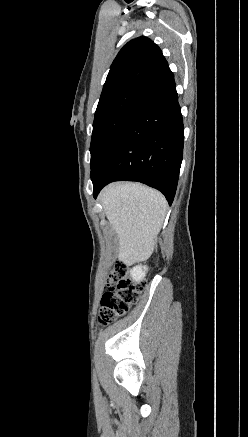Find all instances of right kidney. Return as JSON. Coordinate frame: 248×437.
I'll use <instances>...</instances> for the list:
<instances>
[{"label": "right kidney", "instance_id": "ca27d5eb", "mask_svg": "<svg viewBox=\"0 0 248 437\" xmlns=\"http://www.w3.org/2000/svg\"><path fill=\"white\" fill-rule=\"evenodd\" d=\"M148 268L147 266L138 265L135 266L133 269L130 270V275L135 282H141L147 272Z\"/></svg>", "mask_w": 248, "mask_h": 437}]
</instances>
